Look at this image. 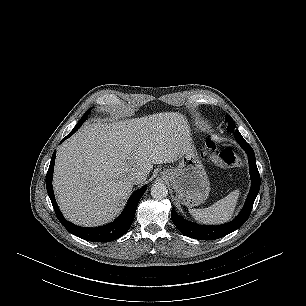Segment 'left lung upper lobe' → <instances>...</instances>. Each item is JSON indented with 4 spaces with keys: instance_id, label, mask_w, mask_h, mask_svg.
I'll use <instances>...</instances> for the list:
<instances>
[{
    "instance_id": "left-lung-upper-lobe-1",
    "label": "left lung upper lobe",
    "mask_w": 306,
    "mask_h": 306,
    "mask_svg": "<svg viewBox=\"0 0 306 306\" xmlns=\"http://www.w3.org/2000/svg\"><path fill=\"white\" fill-rule=\"evenodd\" d=\"M225 118H226V121L228 122L227 130L229 132H234L235 136H242L240 134V132L237 129H235L236 125H235L233 119L229 115H226Z\"/></svg>"
}]
</instances>
